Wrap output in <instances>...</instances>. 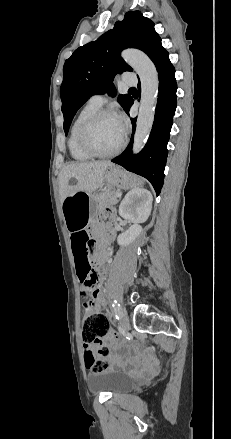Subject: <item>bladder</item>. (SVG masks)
I'll list each match as a JSON object with an SVG mask.
<instances>
[{
    "instance_id": "bladder-1",
    "label": "bladder",
    "mask_w": 231,
    "mask_h": 439,
    "mask_svg": "<svg viewBox=\"0 0 231 439\" xmlns=\"http://www.w3.org/2000/svg\"><path fill=\"white\" fill-rule=\"evenodd\" d=\"M88 384L93 391L108 392L115 395L133 389L137 385V381L132 375L106 369L90 373L88 375Z\"/></svg>"
}]
</instances>
